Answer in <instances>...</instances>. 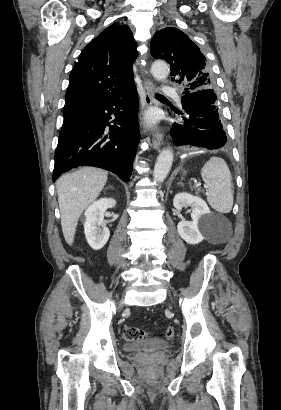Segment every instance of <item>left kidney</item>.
I'll list each match as a JSON object with an SVG mask.
<instances>
[{
	"mask_svg": "<svg viewBox=\"0 0 281 410\" xmlns=\"http://www.w3.org/2000/svg\"><path fill=\"white\" fill-rule=\"evenodd\" d=\"M173 205L179 211L186 206H191L192 208V222L182 220L177 225L181 238L191 245L203 241L202 232L211 223V211L206 202L198 196L182 192L175 195Z\"/></svg>",
	"mask_w": 281,
	"mask_h": 410,
	"instance_id": "obj_1",
	"label": "left kidney"
}]
</instances>
